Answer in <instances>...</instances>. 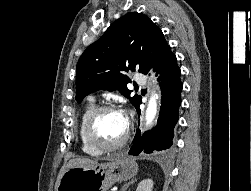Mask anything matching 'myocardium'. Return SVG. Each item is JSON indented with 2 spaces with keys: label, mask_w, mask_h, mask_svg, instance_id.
Returning <instances> with one entry per match:
<instances>
[{
  "label": "myocardium",
  "mask_w": 251,
  "mask_h": 191,
  "mask_svg": "<svg viewBox=\"0 0 251 191\" xmlns=\"http://www.w3.org/2000/svg\"><path fill=\"white\" fill-rule=\"evenodd\" d=\"M107 111L119 112L110 104L96 106L87 118L84 126V137L86 143L93 149L101 152H109L122 147L127 142L131 132V123L127 117L123 116L126 126L122 138L113 144H104L99 141L96 135V126L102 114Z\"/></svg>",
  "instance_id": "f54148a6"
}]
</instances>
